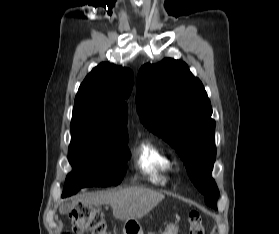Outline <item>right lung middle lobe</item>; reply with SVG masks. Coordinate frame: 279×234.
I'll use <instances>...</instances> for the list:
<instances>
[{"label": "right lung middle lobe", "instance_id": "right-lung-middle-lobe-1", "mask_svg": "<svg viewBox=\"0 0 279 234\" xmlns=\"http://www.w3.org/2000/svg\"><path fill=\"white\" fill-rule=\"evenodd\" d=\"M68 159L73 171L67 175L62 197L77 193L80 188L121 183L130 152L128 137H98L84 124L71 123Z\"/></svg>", "mask_w": 279, "mask_h": 234}]
</instances>
